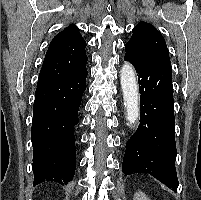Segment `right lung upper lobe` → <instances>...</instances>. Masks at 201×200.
<instances>
[{"label":"right lung upper lobe","mask_w":201,"mask_h":200,"mask_svg":"<svg viewBox=\"0 0 201 200\" xmlns=\"http://www.w3.org/2000/svg\"><path fill=\"white\" fill-rule=\"evenodd\" d=\"M86 42L79 29L71 25L51 41L37 85L55 82L79 72L87 63Z\"/></svg>","instance_id":"right-lung-upper-lobe-1"}]
</instances>
